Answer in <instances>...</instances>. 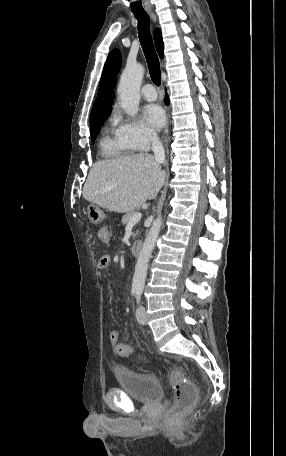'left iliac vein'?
Here are the masks:
<instances>
[{
    "instance_id": "obj_1",
    "label": "left iliac vein",
    "mask_w": 286,
    "mask_h": 456,
    "mask_svg": "<svg viewBox=\"0 0 286 456\" xmlns=\"http://www.w3.org/2000/svg\"><path fill=\"white\" fill-rule=\"evenodd\" d=\"M136 319L140 324H146V310L142 305L136 310Z\"/></svg>"
}]
</instances>
